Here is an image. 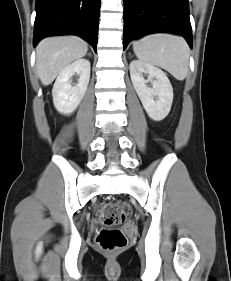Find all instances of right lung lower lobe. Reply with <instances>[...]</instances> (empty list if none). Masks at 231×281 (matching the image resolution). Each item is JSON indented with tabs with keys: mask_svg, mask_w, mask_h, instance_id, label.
I'll use <instances>...</instances> for the list:
<instances>
[{
	"mask_svg": "<svg viewBox=\"0 0 231 281\" xmlns=\"http://www.w3.org/2000/svg\"><path fill=\"white\" fill-rule=\"evenodd\" d=\"M100 0H36L34 46L53 35H78L96 51Z\"/></svg>",
	"mask_w": 231,
	"mask_h": 281,
	"instance_id": "obj_1",
	"label": "right lung lower lobe"
}]
</instances>
